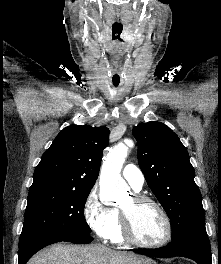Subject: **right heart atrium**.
Here are the masks:
<instances>
[{
  "instance_id": "d8ad5b80",
  "label": "right heart atrium",
  "mask_w": 221,
  "mask_h": 264,
  "mask_svg": "<svg viewBox=\"0 0 221 264\" xmlns=\"http://www.w3.org/2000/svg\"><path fill=\"white\" fill-rule=\"evenodd\" d=\"M83 216L88 227L102 239H107L115 223V212L105 206L96 188L90 190L83 204Z\"/></svg>"
}]
</instances>
